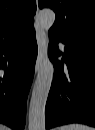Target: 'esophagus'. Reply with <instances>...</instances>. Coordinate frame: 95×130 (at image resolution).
I'll list each match as a JSON object with an SVG mask.
<instances>
[{"label": "esophagus", "mask_w": 95, "mask_h": 130, "mask_svg": "<svg viewBox=\"0 0 95 130\" xmlns=\"http://www.w3.org/2000/svg\"><path fill=\"white\" fill-rule=\"evenodd\" d=\"M35 21L37 24V45L38 55L36 59L35 72L37 73L42 66L43 60L47 53V37L45 31L41 28L36 14Z\"/></svg>", "instance_id": "1"}]
</instances>
